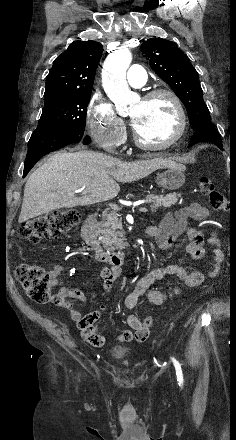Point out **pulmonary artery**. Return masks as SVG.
I'll return each instance as SVG.
<instances>
[{
  "instance_id": "obj_1",
  "label": "pulmonary artery",
  "mask_w": 236,
  "mask_h": 440,
  "mask_svg": "<svg viewBox=\"0 0 236 440\" xmlns=\"http://www.w3.org/2000/svg\"><path fill=\"white\" fill-rule=\"evenodd\" d=\"M147 72L140 65H132L128 71L127 80L132 87H141L146 83Z\"/></svg>"
}]
</instances>
